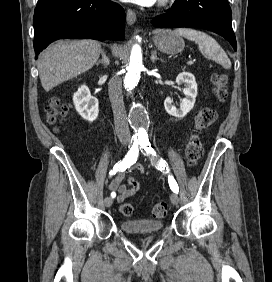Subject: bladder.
I'll list each match as a JSON object with an SVG mask.
<instances>
[{"instance_id": "1", "label": "bladder", "mask_w": 272, "mask_h": 282, "mask_svg": "<svg viewBox=\"0 0 272 282\" xmlns=\"http://www.w3.org/2000/svg\"><path fill=\"white\" fill-rule=\"evenodd\" d=\"M120 228L130 234L156 233L163 228V222L151 219L126 220L120 223Z\"/></svg>"}]
</instances>
